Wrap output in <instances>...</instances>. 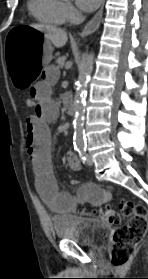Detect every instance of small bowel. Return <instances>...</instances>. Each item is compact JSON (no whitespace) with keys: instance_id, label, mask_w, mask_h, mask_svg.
I'll return each instance as SVG.
<instances>
[{"instance_id":"1","label":"small bowel","mask_w":148,"mask_h":279,"mask_svg":"<svg viewBox=\"0 0 148 279\" xmlns=\"http://www.w3.org/2000/svg\"><path fill=\"white\" fill-rule=\"evenodd\" d=\"M59 78L55 67L42 70L41 79L29 94L36 99L34 112L26 120V148L36 176V188L50 209L56 213L69 214L75 211L77 204L90 203L99 205L111 199V193L93 183L81 186L77 195H71L59 189L53 173L51 161V136L49 124L57 120L59 108L52 99V86ZM66 160L69 168L80 171L82 165L77 156L68 151ZM78 180H73L77 184Z\"/></svg>"}]
</instances>
